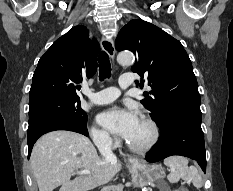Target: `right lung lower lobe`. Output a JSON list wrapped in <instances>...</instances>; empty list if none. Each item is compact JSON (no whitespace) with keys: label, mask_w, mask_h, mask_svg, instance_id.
<instances>
[{"label":"right lung lower lobe","mask_w":233,"mask_h":191,"mask_svg":"<svg viewBox=\"0 0 233 191\" xmlns=\"http://www.w3.org/2000/svg\"><path fill=\"white\" fill-rule=\"evenodd\" d=\"M54 130H69L88 136L86 126H83L72 120L50 116L41 117L35 120L33 123L29 124L28 127V158L30 157L33 144L37 141V139L43 134Z\"/></svg>","instance_id":"right-lung-lower-lobe-1"}]
</instances>
